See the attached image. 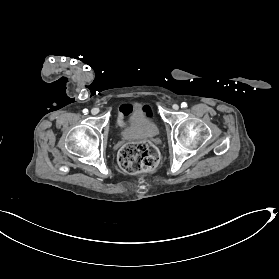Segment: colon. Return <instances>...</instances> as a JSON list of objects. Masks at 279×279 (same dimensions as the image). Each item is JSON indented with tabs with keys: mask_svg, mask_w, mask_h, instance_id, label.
<instances>
[{
	"mask_svg": "<svg viewBox=\"0 0 279 279\" xmlns=\"http://www.w3.org/2000/svg\"><path fill=\"white\" fill-rule=\"evenodd\" d=\"M118 160L124 171L138 174L155 168L158 153L156 148L148 142L129 143L121 148Z\"/></svg>",
	"mask_w": 279,
	"mask_h": 279,
	"instance_id": "5ec220e1",
	"label": "colon"
}]
</instances>
